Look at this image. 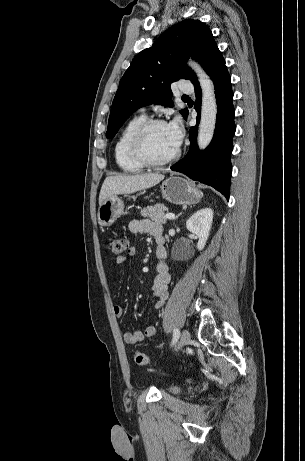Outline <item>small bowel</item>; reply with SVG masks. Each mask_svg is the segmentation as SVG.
<instances>
[{
	"instance_id": "c3829d8e",
	"label": "small bowel",
	"mask_w": 305,
	"mask_h": 461,
	"mask_svg": "<svg viewBox=\"0 0 305 461\" xmlns=\"http://www.w3.org/2000/svg\"><path fill=\"white\" fill-rule=\"evenodd\" d=\"M129 229L133 233H146L152 235L155 239L162 236V226L149 219H133L129 223ZM137 254V248L135 246H129L127 254L117 257L116 263L123 265L127 257H133ZM155 256L157 258L156 264V276L154 278L151 295L156 299L153 304L154 309H160L164 305L168 297V287L171 281V277L168 271V265L165 261L166 249L157 245L155 250ZM113 313L116 316L123 314V308L120 305H114ZM157 333V327L155 325L148 326L143 332H131L127 331L123 334V339L127 344L136 345L142 341L145 337L154 338Z\"/></svg>"
}]
</instances>
